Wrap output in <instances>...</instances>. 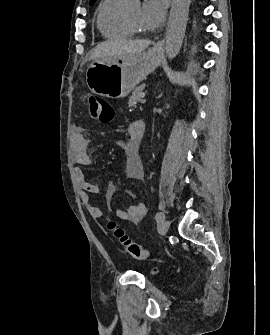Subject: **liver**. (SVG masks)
<instances>
[{"label":"liver","instance_id":"6515ba94","mask_svg":"<svg viewBox=\"0 0 270 335\" xmlns=\"http://www.w3.org/2000/svg\"><path fill=\"white\" fill-rule=\"evenodd\" d=\"M151 40H132V42H123V44H115V42H102L93 48L89 54L90 60L97 58H116V56H135L141 54L148 46Z\"/></svg>","mask_w":270,"mask_h":335}]
</instances>
